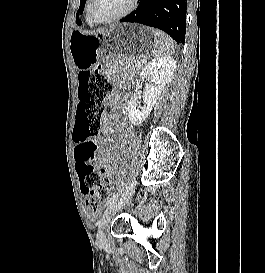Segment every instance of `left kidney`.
I'll list each match as a JSON object with an SVG mask.
<instances>
[{
    "label": "left kidney",
    "mask_w": 265,
    "mask_h": 273,
    "mask_svg": "<svg viewBox=\"0 0 265 273\" xmlns=\"http://www.w3.org/2000/svg\"><path fill=\"white\" fill-rule=\"evenodd\" d=\"M175 68L174 58L166 56L155 58L144 67L140 77H150L151 82L145 87L143 105L140 110L136 109L135 92L128 103V116L132 124L139 125L146 120Z\"/></svg>",
    "instance_id": "obj_1"
}]
</instances>
